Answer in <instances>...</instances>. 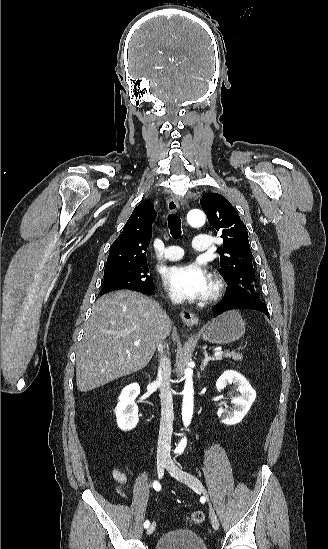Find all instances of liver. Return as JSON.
<instances>
[{
    "instance_id": "6515ba94",
    "label": "liver",
    "mask_w": 328,
    "mask_h": 549,
    "mask_svg": "<svg viewBox=\"0 0 328 549\" xmlns=\"http://www.w3.org/2000/svg\"><path fill=\"white\" fill-rule=\"evenodd\" d=\"M168 315L161 305L135 291L103 295L93 305L76 357V383L81 393L102 387L119 377L144 369L160 339L170 333ZM134 341H140L135 347Z\"/></svg>"
}]
</instances>
